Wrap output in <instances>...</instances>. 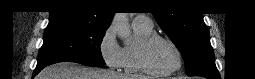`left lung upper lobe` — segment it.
Wrapping results in <instances>:
<instances>
[{"label":"left lung upper lobe","mask_w":255,"mask_h":79,"mask_svg":"<svg viewBox=\"0 0 255 79\" xmlns=\"http://www.w3.org/2000/svg\"><path fill=\"white\" fill-rule=\"evenodd\" d=\"M159 9L153 15L181 52L187 75L219 74L209 39V31L201 13L169 11L175 1L155 0Z\"/></svg>","instance_id":"obj_1"}]
</instances>
